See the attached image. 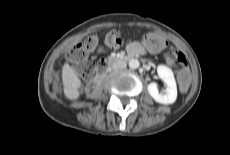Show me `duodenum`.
<instances>
[{
	"label": "duodenum",
	"instance_id": "duodenum-1",
	"mask_svg": "<svg viewBox=\"0 0 230 155\" xmlns=\"http://www.w3.org/2000/svg\"><path fill=\"white\" fill-rule=\"evenodd\" d=\"M137 54L135 52L132 51H128V53L126 55H118V56H108L106 57L99 65V76L98 78H100V75H102L107 68L112 65L115 62H120V61H127L131 58H133L134 56H136Z\"/></svg>",
	"mask_w": 230,
	"mask_h": 155
}]
</instances>
